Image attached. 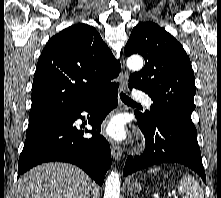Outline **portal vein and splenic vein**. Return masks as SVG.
<instances>
[{
  "mask_svg": "<svg viewBox=\"0 0 221 198\" xmlns=\"http://www.w3.org/2000/svg\"><path fill=\"white\" fill-rule=\"evenodd\" d=\"M169 197H171V194H169ZM174 198H178V196L174 195Z\"/></svg>",
  "mask_w": 221,
  "mask_h": 198,
  "instance_id": "obj_1",
  "label": "portal vein and splenic vein"
}]
</instances>
